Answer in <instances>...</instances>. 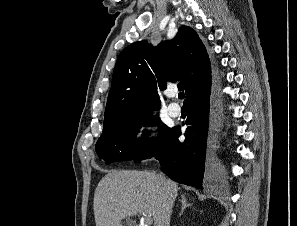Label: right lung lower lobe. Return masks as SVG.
<instances>
[{
  "label": "right lung lower lobe",
  "mask_w": 297,
  "mask_h": 226,
  "mask_svg": "<svg viewBox=\"0 0 297 226\" xmlns=\"http://www.w3.org/2000/svg\"><path fill=\"white\" fill-rule=\"evenodd\" d=\"M211 84L196 92L188 102V117L185 141L179 142L180 127L170 129L162 142L146 157H155L160 161L162 170L174 181L203 189L205 176H211L213 182L222 180L224 172L217 161H205L207 136L213 134L218 122L209 121ZM212 102L214 100L212 96Z\"/></svg>",
  "instance_id": "obj_1"
}]
</instances>
